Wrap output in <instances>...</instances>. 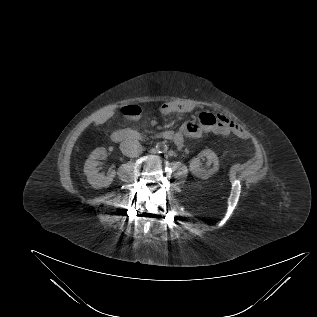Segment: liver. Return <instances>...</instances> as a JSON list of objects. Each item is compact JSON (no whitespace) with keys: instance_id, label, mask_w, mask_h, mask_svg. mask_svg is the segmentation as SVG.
Segmentation results:
<instances>
[{"instance_id":"1","label":"liver","mask_w":317,"mask_h":317,"mask_svg":"<svg viewBox=\"0 0 317 317\" xmlns=\"http://www.w3.org/2000/svg\"><path fill=\"white\" fill-rule=\"evenodd\" d=\"M114 111L115 105H108L96 111L92 115V120L94 121L95 126L104 124L109 118L113 116Z\"/></svg>"}]
</instances>
